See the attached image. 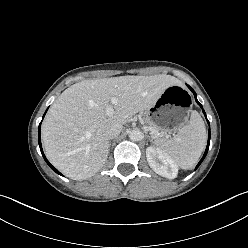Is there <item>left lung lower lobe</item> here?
<instances>
[{"mask_svg": "<svg viewBox=\"0 0 248 248\" xmlns=\"http://www.w3.org/2000/svg\"><path fill=\"white\" fill-rule=\"evenodd\" d=\"M188 87H189V89L193 92L197 104L202 108V111H203V113H204V115H205V117H206V113H205V111L203 110L202 105L198 102V100H197V98H196V93H195V91H194L190 86H188ZM206 119H207V118H206ZM207 122H208V124H209V121H208V120H207ZM209 143H210V130H209V136H208V144H207L205 153H204L202 159L200 160V162L198 163V165L196 166V169L199 167V165H200V164L202 163V161L204 160V158H205V156H206V154H207V152H208V149H209Z\"/></svg>", "mask_w": 248, "mask_h": 248, "instance_id": "1", "label": "left lung lower lobe"}]
</instances>
